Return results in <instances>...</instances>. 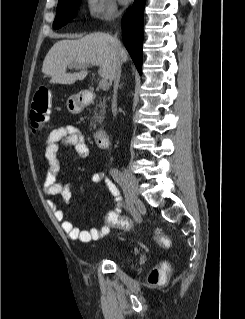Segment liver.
Returning <instances> with one entry per match:
<instances>
[{"instance_id": "liver-1", "label": "liver", "mask_w": 245, "mask_h": 319, "mask_svg": "<svg viewBox=\"0 0 245 319\" xmlns=\"http://www.w3.org/2000/svg\"><path fill=\"white\" fill-rule=\"evenodd\" d=\"M118 60L126 62L128 54L121 47L117 51L114 39L105 33H92L78 40H60L47 53L42 66V72L51 77L50 83L71 85L83 80L87 72L67 73L71 64L94 65L99 67V75L113 80Z\"/></svg>"}]
</instances>
